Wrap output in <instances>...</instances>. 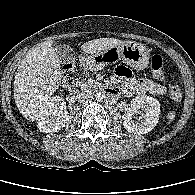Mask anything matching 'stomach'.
Masks as SVG:
<instances>
[{
    "mask_svg": "<svg viewBox=\"0 0 195 195\" xmlns=\"http://www.w3.org/2000/svg\"><path fill=\"white\" fill-rule=\"evenodd\" d=\"M149 57V52L145 46L137 42L128 41L124 44L113 46L102 53L91 54L88 61L91 70H100L107 65L115 64L121 59L130 67L142 70L148 66Z\"/></svg>",
    "mask_w": 195,
    "mask_h": 195,
    "instance_id": "obj_1",
    "label": "stomach"
}]
</instances>
